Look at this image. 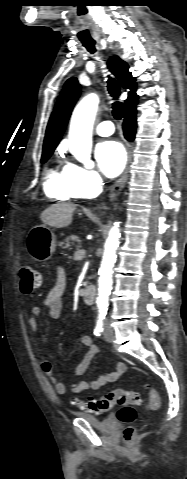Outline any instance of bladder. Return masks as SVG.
Instances as JSON below:
<instances>
[{"mask_svg":"<svg viewBox=\"0 0 187 479\" xmlns=\"http://www.w3.org/2000/svg\"><path fill=\"white\" fill-rule=\"evenodd\" d=\"M74 415L88 421L92 426L103 433L109 434L116 429V424L110 417L98 419L84 412H75Z\"/></svg>","mask_w":187,"mask_h":479,"instance_id":"31cf9c89","label":"bladder"}]
</instances>
